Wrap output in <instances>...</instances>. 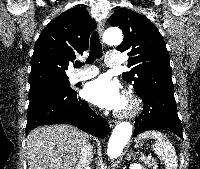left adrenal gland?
Instances as JSON below:
<instances>
[{"mask_svg":"<svg viewBox=\"0 0 200 169\" xmlns=\"http://www.w3.org/2000/svg\"><path fill=\"white\" fill-rule=\"evenodd\" d=\"M132 157L135 159V154H134V151H133V150H131V151L127 154L126 160H131Z\"/></svg>","mask_w":200,"mask_h":169,"instance_id":"obj_1","label":"left adrenal gland"}]
</instances>
